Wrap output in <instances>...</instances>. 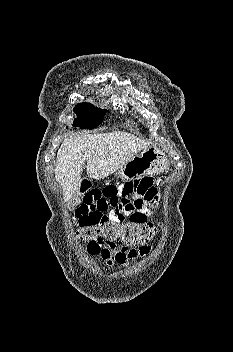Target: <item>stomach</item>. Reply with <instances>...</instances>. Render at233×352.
Masks as SVG:
<instances>
[{
    "label": "stomach",
    "mask_w": 233,
    "mask_h": 352,
    "mask_svg": "<svg viewBox=\"0 0 233 352\" xmlns=\"http://www.w3.org/2000/svg\"><path fill=\"white\" fill-rule=\"evenodd\" d=\"M168 164V159L162 151L156 147H148L120 167L117 175L124 180H134L147 175L159 174L167 169Z\"/></svg>",
    "instance_id": "stomach-1"
}]
</instances>
